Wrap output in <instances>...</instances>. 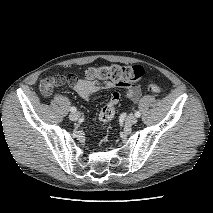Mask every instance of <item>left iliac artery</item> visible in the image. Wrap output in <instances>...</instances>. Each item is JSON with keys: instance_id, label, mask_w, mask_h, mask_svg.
I'll use <instances>...</instances> for the list:
<instances>
[{"instance_id": "left-iliac-artery-1", "label": "left iliac artery", "mask_w": 213, "mask_h": 213, "mask_svg": "<svg viewBox=\"0 0 213 213\" xmlns=\"http://www.w3.org/2000/svg\"><path fill=\"white\" fill-rule=\"evenodd\" d=\"M135 116H136V117H140V116H141V113H140L139 111H136V112H135Z\"/></svg>"}]
</instances>
